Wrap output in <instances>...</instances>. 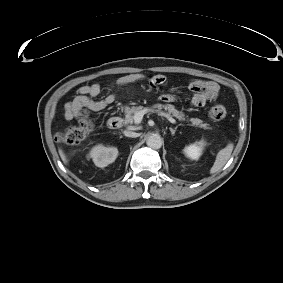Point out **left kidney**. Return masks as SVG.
Segmentation results:
<instances>
[{"instance_id": "obj_1", "label": "left kidney", "mask_w": 283, "mask_h": 283, "mask_svg": "<svg viewBox=\"0 0 283 283\" xmlns=\"http://www.w3.org/2000/svg\"><path fill=\"white\" fill-rule=\"evenodd\" d=\"M203 146V141L199 142L198 144H191L184 148V153L187 157L196 160L200 157Z\"/></svg>"}]
</instances>
